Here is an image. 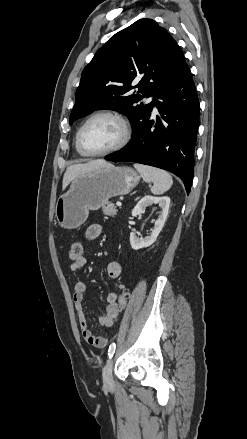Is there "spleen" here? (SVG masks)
I'll return each mask as SVG.
<instances>
[{
	"label": "spleen",
	"instance_id": "3e777b00",
	"mask_svg": "<svg viewBox=\"0 0 247 439\" xmlns=\"http://www.w3.org/2000/svg\"><path fill=\"white\" fill-rule=\"evenodd\" d=\"M135 169L140 173L141 177L146 182H153L151 192L155 195H160L170 189L173 184L171 175L155 167L135 163Z\"/></svg>",
	"mask_w": 247,
	"mask_h": 439
}]
</instances>
